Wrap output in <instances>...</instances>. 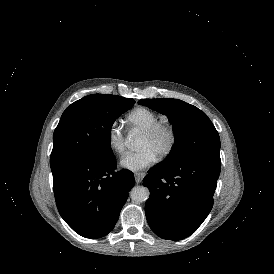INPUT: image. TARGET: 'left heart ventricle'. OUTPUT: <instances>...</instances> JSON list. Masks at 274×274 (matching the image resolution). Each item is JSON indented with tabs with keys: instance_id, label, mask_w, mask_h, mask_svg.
Here are the masks:
<instances>
[{
	"instance_id": "1",
	"label": "left heart ventricle",
	"mask_w": 274,
	"mask_h": 274,
	"mask_svg": "<svg viewBox=\"0 0 274 274\" xmlns=\"http://www.w3.org/2000/svg\"><path fill=\"white\" fill-rule=\"evenodd\" d=\"M168 144V136L165 132H160L155 137L149 138L141 135L137 148L146 147L150 149L157 157L161 153L162 150Z\"/></svg>"
}]
</instances>
